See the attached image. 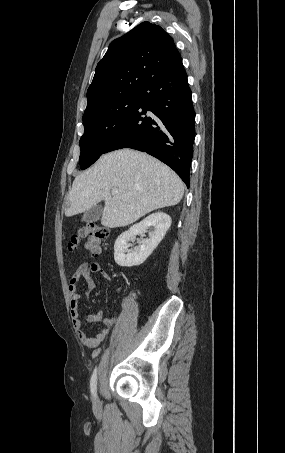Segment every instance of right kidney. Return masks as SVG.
<instances>
[{"instance_id":"ca27d5eb","label":"right kidney","mask_w":285,"mask_h":453,"mask_svg":"<svg viewBox=\"0 0 285 453\" xmlns=\"http://www.w3.org/2000/svg\"><path fill=\"white\" fill-rule=\"evenodd\" d=\"M170 226L171 217L164 212L153 213L140 223L131 226L128 231L123 232L115 241V262L122 267L141 265L156 249ZM149 227H153V231L149 234V239L142 240L137 248L129 250L128 247L130 245L128 242L137 235L145 233Z\"/></svg>"}]
</instances>
